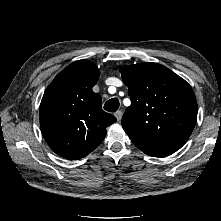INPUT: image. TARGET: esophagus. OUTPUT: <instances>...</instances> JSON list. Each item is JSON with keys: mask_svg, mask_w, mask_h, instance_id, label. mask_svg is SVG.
Returning <instances> with one entry per match:
<instances>
[{"mask_svg": "<svg viewBox=\"0 0 221 221\" xmlns=\"http://www.w3.org/2000/svg\"><path fill=\"white\" fill-rule=\"evenodd\" d=\"M122 111H117L115 112L114 116L116 117L117 121L120 122L121 118H122Z\"/></svg>", "mask_w": 221, "mask_h": 221, "instance_id": "1", "label": "esophagus"}]
</instances>
